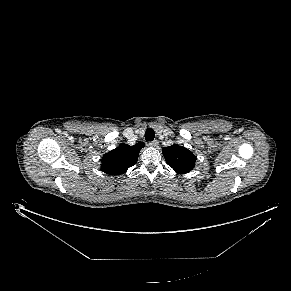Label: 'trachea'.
I'll return each mask as SVG.
<instances>
[{"instance_id":"trachea-1","label":"trachea","mask_w":291,"mask_h":291,"mask_svg":"<svg viewBox=\"0 0 291 291\" xmlns=\"http://www.w3.org/2000/svg\"><path fill=\"white\" fill-rule=\"evenodd\" d=\"M155 137V132L153 131V129L148 128L145 132V139L146 141H153Z\"/></svg>"}]
</instances>
